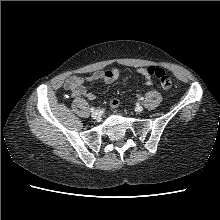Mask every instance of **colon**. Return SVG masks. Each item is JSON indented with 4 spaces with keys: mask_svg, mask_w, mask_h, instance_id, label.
<instances>
[{
    "mask_svg": "<svg viewBox=\"0 0 220 220\" xmlns=\"http://www.w3.org/2000/svg\"><path fill=\"white\" fill-rule=\"evenodd\" d=\"M147 72L150 76L156 77L161 87L165 90H169L172 87V79L170 76L160 67L150 66L147 68ZM120 105V100L114 98L110 101V107L116 109Z\"/></svg>",
    "mask_w": 220,
    "mask_h": 220,
    "instance_id": "obj_1",
    "label": "colon"
}]
</instances>
